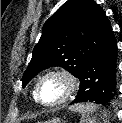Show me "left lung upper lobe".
Segmentation results:
<instances>
[{"instance_id":"left-lung-upper-lobe-1","label":"left lung upper lobe","mask_w":122,"mask_h":123,"mask_svg":"<svg viewBox=\"0 0 122 123\" xmlns=\"http://www.w3.org/2000/svg\"><path fill=\"white\" fill-rule=\"evenodd\" d=\"M111 32L105 11L94 0H68L45 22L22 77L23 87L52 66L63 67L78 78Z\"/></svg>"}]
</instances>
